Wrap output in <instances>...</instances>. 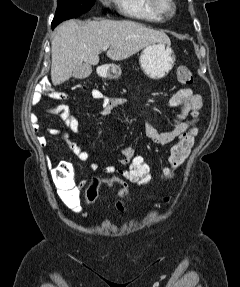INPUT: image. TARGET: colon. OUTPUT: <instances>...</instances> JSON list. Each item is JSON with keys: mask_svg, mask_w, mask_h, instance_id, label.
<instances>
[{"mask_svg": "<svg viewBox=\"0 0 240 287\" xmlns=\"http://www.w3.org/2000/svg\"><path fill=\"white\" fill-rule=\"evenodd\" d=\"M177 80L185 85L193 83L192 72L185 66H180L176 71ZM76 89H84L83 85H78ZM196 128L190 129L178 137V142L174 144L169 152L167 164L162 168L160 176L165 181L173 179L175 170L180 167L191 148L194 145ZM53 180L61 188V193L69 195L76 190L73 178V168L66 161L60 162L52 171ZM154 178L152 168L146 158L135 152L126 166L125 178L127 181L137 185H147ZM102 186H110L118 189L120 200L116 207L119 211H124L129 196V190L126 183L119 178H96L90 184L86 185L85 204L92 207L98 199L99 189Z\"/></svg>", "mask_w": 240, "mask_h": 287, "instance_id": "obj_1", "label": "colon"}]
</instances>
